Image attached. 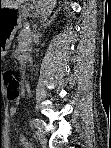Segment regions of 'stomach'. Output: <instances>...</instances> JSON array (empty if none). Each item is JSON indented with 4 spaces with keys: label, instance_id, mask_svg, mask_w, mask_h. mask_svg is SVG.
<instances>
[{
    "label": "stomach",
    "instance_id": "obj_1",
    "mask_svg": "<svg viewBox=\"0 0 111 148\" xmlns=\"http://www.w3.org/2000/svg\"><path fill=\"white\" fill-rule=\"evenodd\" d=\"M22 10L20 7L0 8V54L5 55L17 29L21 27Z\"/></svg>",
    "mask_w": 111,
    "mask_h": 148
}]
</instances>
